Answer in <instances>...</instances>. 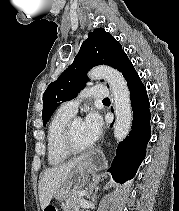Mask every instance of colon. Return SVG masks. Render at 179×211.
<instances>
[{
    "label": "colon",
    "mask_w": 179,
    "mask_h": 211,
    "mask_svg": "<svg viewBox=\"0 0 179 211\" xmlns=\"http://www.w3.org/2000/svg\"><path fill=\"white\" fill-rule=\"evenodd\" d=\"M43 211H58L57 208L53 205L46 206Z\"/></svg>",
    "instance_id": "5ec220e1"
}]
</instances>
